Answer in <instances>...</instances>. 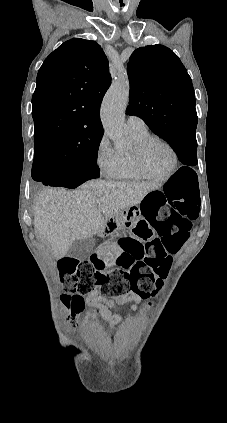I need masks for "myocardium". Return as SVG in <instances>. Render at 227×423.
I'll return each instance as SVG.
<instances>
[{
    "mask_svg": "<svg viewBox=\"0 0 227 423\" xmlns=\"http://www.w3.org/2000/svg\"><path fill=\"white\" fill-rule=\"evenodd\" d=\"M155 142H158L164 145L169 150L172 156L171 166L168 169V171L165 172L164 174L152 173L147 168L145 163L146 151L150 147V145H152ZM133 160H134L135 169L139 175H141L142 177L146 179L159 180V181L170 178L176 172L178 168V164H179V156L174 146L169 141L159 136H148L147 138L139 142L133 150Z\"/></svg>",
    "mask_w": 227,
    "mask_h": 423,
    "instance_id": "myocardium-1",
    "label": "myocardium"
}]
</instances>
